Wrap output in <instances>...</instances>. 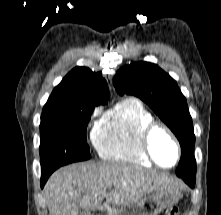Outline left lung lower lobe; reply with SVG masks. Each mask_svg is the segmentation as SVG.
<instances>
[{"label": "left lung lower lobe", "instance_id": "0a47b994", "mask_svg": "<svg viewBox=\"0 0 221 215\" xmlns=\"http://www.w3.org/2000/svg\"><path fill=\"white\" fill-rule=\"evenodd\" d=\"M191 188H194L195 186V178L189 179V178H182Z\"/></svg>", "mask_w": 221, "mask_h": 215}]
</instances>
